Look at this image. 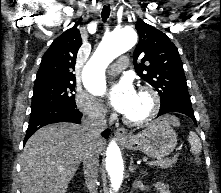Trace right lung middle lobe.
I'll use <instances>...</instances> for the list:
<instances>
[{
	"mask_svg": "<svg viewBox=\"0 0 221 193\" xmlns=\"http://www.w3.org/2000/svg\"><path fill=\"white\" fill-rule=\"evenodd\" d=\"M75 82H50L34 85L31 110L49 105L76 107Z\"/></svg>",
	"mask_w": 221,
	"mask_h": 193,
	"instance_id": "1",
	"label": "right lung middle lobe"
}]
</instances>
